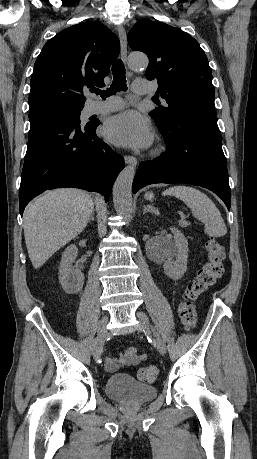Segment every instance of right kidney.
Here are the masks:
<instances>
[{
  "instance_id": "1",
  "label": "right kidney",
  "mask_w": 257,
  "mask_h": 459,
  "mask_svg": "<svg viewBox=\"0 0 257 459\" xmlns=\"http://www.w3.org/2000/svg\"><path fill=\"white\" fill-rule=\"evenodd\" d=\"M77 255L78 248L73 244L68 246L62 254L59 267V282L67 294L78 293L84 284L83 273L72 265Z\"/></svg>"
}]
</instances>
